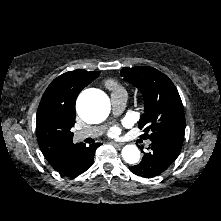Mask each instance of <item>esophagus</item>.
Listing matches in <instances>:
<instances>
[{
    "instance_id": "34e87169",
    "label": "esophagus",
    "mask_w": 221,
    "mask_h": 221,
    "mask_svg": "<svg viewBox=\"0 0 221 221\" xmlns=\"http://www.w3.org/2000/svg\"><path fill=\"white\" fill-rule=\"evenodd\" d=\"M111 144L116 146V147H122L123 146V143L111 142Z\"/></svg>"
}]
</instances>
